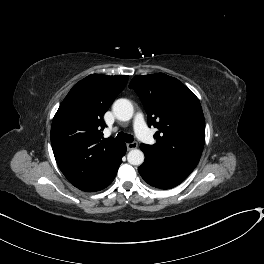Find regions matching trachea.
<instances>
[{"mask_svg":"<svg viewBox=\"0 0 264 264\" xmlns=\"http://www.w3.org/2000/svg\"><path fill=\"white\" fill-rule=\"evenodd\" d=\"M116 139L119 141L127 142V143L133 142V136L130 134L123 133V132H119L116 136Z\"/></svg>","mask_w":264,"mask_h":264,"instance_id":"obj_1","label":"trachea"}]
</instances>
